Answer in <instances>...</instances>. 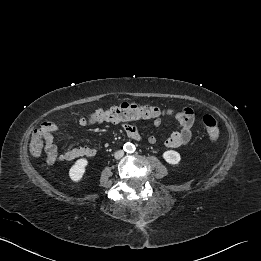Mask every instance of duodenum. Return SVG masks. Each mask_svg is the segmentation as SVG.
<instances>
[{"label": "duodenum", "mask_w": 261, "mask_h": 261, "mask_svg": "<svg viewBox=\"0 0 261 261\" xmlns=\"http://www.w3.org/2000/svg\"><path fill=\"white\" fill-rule=\"evenodd\" d=\"M132 139H135V140H139L140 139V136L138 133H133V135L131 136Z\"/></svg>", "instance_id": "obj_1"}]
</instances>
